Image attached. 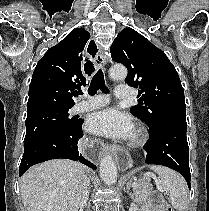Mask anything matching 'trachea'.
Segmentation results:
<instances>
[{"label":"trachea","instance_id":"3493384b","mask_svg":"<svg viewBox=\"0 0 209 211\" xmlns=\"http://www.w3.org/2000/svg\"><path fill=\"white\" fill-rule=\"evenodd\" d=\"M98 89L102 90L103 92L107 91V88L105 86V81H104V75L101 69L98 70V72L95 74V76L91 80L90 87L88 89V94L94 95L96 94ZM79 94H82V93L80 92Z\"/></svg>","mask_w":209,"mask_h":211}]
</instances>
